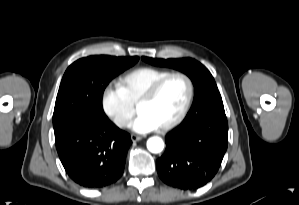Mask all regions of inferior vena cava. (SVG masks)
I'll list each match as a JSON object with an SVG mask.
<instances>
[{"label": "inferior vena cava", "instance_id": "obj_1", "mask_svg": "<svg viewBox=\"0 0 299 205\" xmlns=\"http://www.w3.org/2000/svg\"><path fill=\"white\" fill-rule=\"evenodd\" d=\"M127 124H128V120L126 119L121 118L117 120V125L120 127L126 126Z\"/></svg>", "mask_w": 299, "mask_h": 205}]
</instances>
